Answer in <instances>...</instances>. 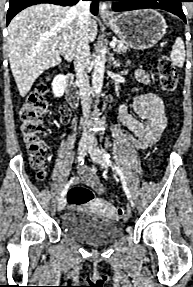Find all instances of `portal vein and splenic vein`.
<instances>
[{
    "label": "portal vein and splenic vein",
    "mask_w": 193,
    "mask_h": 287,
    "mask_svg": "<svg viewBox=\"0 0 193 287\" xmlns=\"http://www.w3.org/2000/svg\"><path fill=\"white\" fill-rule=\"evenodd\" d=\"M53 47H57V44H53ZM110 47H111V48H115V47H116V42L112 41V42L110 43Z\"/></svg>",
    "instance_id": "18ae733b"
}]
</instances>
